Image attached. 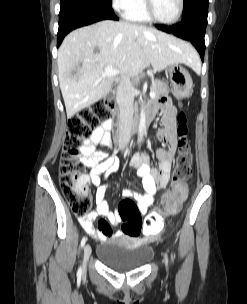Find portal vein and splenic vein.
<instances>
[{"label":"portal vein and splenic vein","mask_w":247,"mask_h":304,"mask_svg":"<svg viewBox=\"0 0 247 304\" xmlns=\"http://www.w3.org/2000/svg\"><path fill=\"white\" fill-rule=\"evenodd\" d=\"M117 74H119L118 70L114 69L112 66H108V67H105L104 72L102 73V76L103 77L114 76V75H117ZM150 97L151 98L155 97V93L152 90L150 91Z\"/></svg>","instance_id":"1"}]
</instances>
